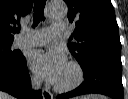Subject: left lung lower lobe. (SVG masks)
Returning a JSON list of instances; mask_svg holds the SVG:
<instances>
[{"instance_id": "left-lung-lower-lobe-1", "label": "left lung lower lobe", "mask_w": 128, "mask_h": 99, "mask_svg": "<svg viewBox=\"0 0 128 99\" xmlns=\"http://www.w3.org/2000/svg\"><path fill=\"white\" fill-rule=\"evenodd\" d=\"M84 74V82L75 90L57 96V99L98 93L123 99L121 52L96 50L79 63Z\"/></svg>"}]
</instances>
